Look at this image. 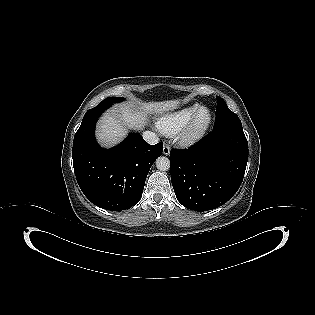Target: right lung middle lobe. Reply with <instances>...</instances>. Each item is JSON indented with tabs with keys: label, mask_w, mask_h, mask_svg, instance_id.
<instances>
[{
	"label": "right lung middle lobe",
	"mask_w": 315,
	"mask_h": 315,
	"mask_svg": "<svg viewBox=\"0 0 315 315\" xmlns=\"http://www.w3.org/2000/svg\"><path fill=\"white\" fill-rule=\"evenodd\" d=\"M121 100H123V99L120 97H108L105 100L101 101L99 104H113V103L119 102Z\"/></svg>",
	"instance_id": "right-lung-middle-lobe-1"
}]
</instances>
